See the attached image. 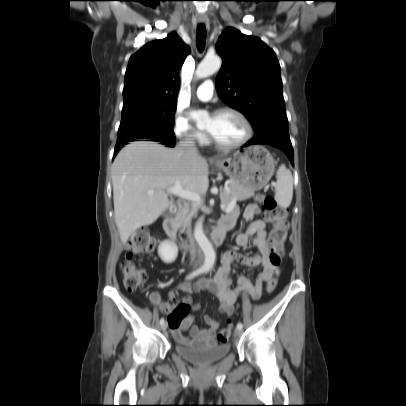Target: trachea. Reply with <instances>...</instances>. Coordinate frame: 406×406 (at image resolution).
<instances>
[{
    "instance_id": "trachea-1",
    "label": "trachea",
    "mask_w": 406,
    "mask_h": 406,
    "mask_svg": "<svg viewBox=\"0 0 406 406\" xmlns=\"http://www.w3.org/2000/svg\"><path fill=\"white\" fill-rule=\"evenodd\" d=\"M196 44L198 50L202 52L206 44V27L204 24H199L197 27Z\"/></svg>"
}]
</instances>
